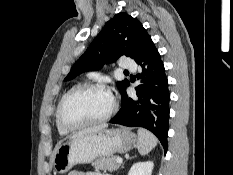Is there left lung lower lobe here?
I'll return each mask as SVG.
<instances>
[{"label":"left lung lower lobe","mask_w":233,"mask_h":175,"mask_svg":"<svg viewBox=\"0 0 233 175\" xmlns=\"http://www.w3.org/2000/svg\"><path fill=\"white\" fill-rule=\"evenodd\" d=\"M136 63L141 66L138 75L141 83L135 88L136 97H128L124 90L121 108L110 123L150 130L166 152L170 93L165 68L155 45L152 44Z\"/></svg>","instance_id":"left-lung-lower-lobe-1"}]
</instances>
